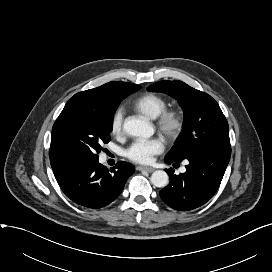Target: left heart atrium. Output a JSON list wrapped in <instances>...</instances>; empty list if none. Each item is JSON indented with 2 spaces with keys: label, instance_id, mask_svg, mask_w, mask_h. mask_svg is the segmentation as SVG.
Segmentation results:
<instances>
[{
  "label": "left heart atrium",
  "instance_id": "39dd6f15",
  "mask_svg": "<svg viewBox=\"0 0 272 272\" xmlns=\"http://www.w3.org/2000/svg\"><path fill=\"white\" fill-rule=\"evenodd\" d=\"M163 150L164 143L160 138L139 139L126 149L125 156L133 162L148 164Z\"/></svg>",
  "mask_w": 272,
  "mask_h": 272
}]
</instances>
